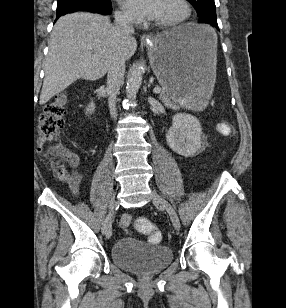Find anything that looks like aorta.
<instances>
[{"instance_id":"obj_1","label":"aorta","mask_w":286,"mask_h":308,"mask_svg":"<svg viewBox=\"0 0 286 308\" xmlns=\"http://www.w3.org/2000/svg\"><path fill=\"white\" fill-rule=\"evenodd\" d=\"M143 67L140 63L135 64L130 70L126 86V95L129 99H135L142 84Z\"/></svg>"}]
</instances>
